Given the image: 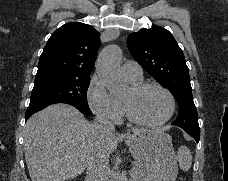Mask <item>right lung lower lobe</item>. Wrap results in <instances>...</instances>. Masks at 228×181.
<instances>
[{
  "label": "right lung lower lobe",
  "mask_w": 228,
  "mask_h": 181,
  "mask_svg": "<svg viewBox=\"0 0 228 181\" xmlns=\"http://www.w3.org/2000/svg\"><path fill=\"white\" fill-rule=\"evenodd\" d=\"M47 106L48 105L28 107L26 114H25V120H27L35 112L40 111Z\"/></svg>",
  "instance_id": "obj_1"
}]
</instances>
